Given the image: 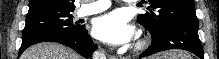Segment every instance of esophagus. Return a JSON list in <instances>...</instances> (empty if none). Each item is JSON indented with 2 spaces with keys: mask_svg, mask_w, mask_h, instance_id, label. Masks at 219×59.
Here are the masks:
<instances>
[{
  "mask_svg": "<svg viewBox=\"0 0 219 59\" xmlns=\"http://www.w3.org/2000/svg\"><path fill=\"white\" fill-rule=\"evenodd\" d=\"M110 59H115V57L111 56Z\"/></svg>",
  "mask_w": 219,
  "mask_h": 59,
  "instance_id": "1",
  "label": "esophagus"
}]
</instances>
